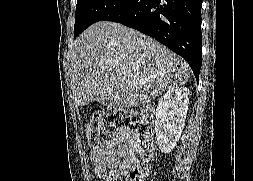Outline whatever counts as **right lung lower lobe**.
Here are the masks:
<instances>
[{
  "label": "right lung lower lobe",
  "mask_w": 253,
  "mask_h": 181,
  "mask_svg": "<svg viewBox=\"0 0 253 181\" xmlns=\"http://www.w3.org/2000/svg\"><path fill=\"white\" fill-rule=\"evenodd\" d=\"M103 20L137 29L166 45L189 63L199 80L201 0H127Z\"/></svg>",
  "instance_id": "98d812e1"
}]
</instances>
